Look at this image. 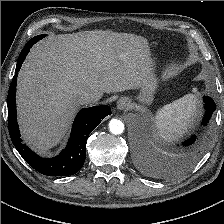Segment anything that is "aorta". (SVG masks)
<instances>
[{
  "label": "aorta",
  "instance_id": "762f6f07",
  "mask_svg": "<svg viewBox=\"0 0 224 224\" xmlns=\"http://www.w3.org/2000/svg\"><path fill=\"white\" fill-rule=\"evenodd\" d=\"M109 129L112 134L118 135L124 131V124L117 119L110 120Z\"/></svg>",
  "mask_w": 224,
  "mask_h": 224
}]
</instances>
